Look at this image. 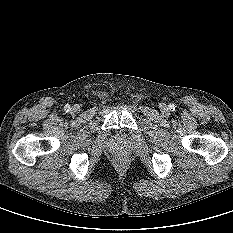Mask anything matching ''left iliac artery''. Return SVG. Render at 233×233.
<instances>
[{"mask_svg":"<svg viewBox=\"0 0 233 233\" xmlns=\"http://www.w3.org/2000/svg\"><path fill=\"white\" fill-rule=\"evenodd\" d=\"M169 108H170L171 110H173V111H174V110H175V108H176V106H175L174 104H170V105H169Z\"/></svg>","mask_w":233,"mask_h":233,"instance_id":"obj_1","label":"left iliac artery"}]
</instances>
